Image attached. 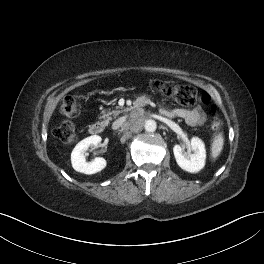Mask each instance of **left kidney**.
I'll return each instance as SVG.
<instances>
[{
	"label": "left kidney",
	"mask_w": 264,
	"mask_h": 264,
	"mask_svg": "<svg viewBox=\"0 0 264 264\" xmlns=\"http://www.w3.org/2000/svg\"><path fill=\"white\" fill-rule=\"evenodd\" d=\"M193 154L186 156L184 149L180 145L173 147V153L177 164L185 171L194 173L199 172L205 166L206 150L203 141L197 137H193L190 142Z\"/></svg>",
	"instance_id": "1"
}]
</instances>
